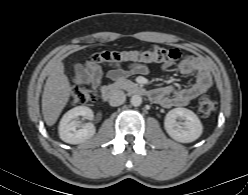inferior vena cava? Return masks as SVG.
<instances>
[{
  "instance_id": "inferior-vena-cava-1",
  "label": "inferior vena cava",
  "mask_w": 248,
  "mask_h": 195,
  "mask_svg": "<svg viewBox=\"0 0 248 195\" xmlns=\"http://www.w3.org/2000/svg\"><path fill=\"white\" fill-rule=\"evenodd\" d=\"M126 100V95L123 91L121 90H116L113 92V94L110 97L109 104L111 106H120L122 105Z\"/></svg>"
}]
</instances>
